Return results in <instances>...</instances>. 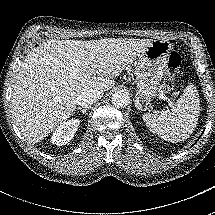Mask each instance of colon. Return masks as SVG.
I'll list each match as a JSON object with an SVG mask.
<instances>
[{"mask_svg": "<svg viewBox=\"0 0 215 215\" xmlns=\"http://www.w3.org/2000/svg\"><path fill=\"white\" fill-rule=\"evenodd\" d=\"M181 58L178 52H173L170 54L168 59V68L170 70L177 69L180 66ZM174 87V79L172 77H168L163 81L162 84V93L168 94L172 91Z\"/></svg>", "mask_w": 215, "mask_h": 215, "instance_id": "obj_1", "label": "colon"}]
</instances>
